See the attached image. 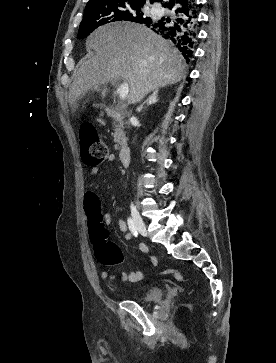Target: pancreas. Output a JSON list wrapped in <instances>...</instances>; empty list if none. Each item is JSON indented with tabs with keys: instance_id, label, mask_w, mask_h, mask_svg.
I'll list each match as a JSON object with an SVG mask.
<instances>
[{
	"instance_id": "cf45deb5",
	"label": "pancreas",
	"mask_w": 276,
	"mask_h": 363,
	"mask_svg": "<svg viewBox=\"0 0 276 363\" xmlns=\"http://www.w3.org/2000/svg\"><path fill=\"white\" fill-rule=\"evenodd\" d=\"M125 141V133L123 130V122L119 121L118 123L114 124V142L115 148H120Z\"/></svg>"
}]
</instances>
